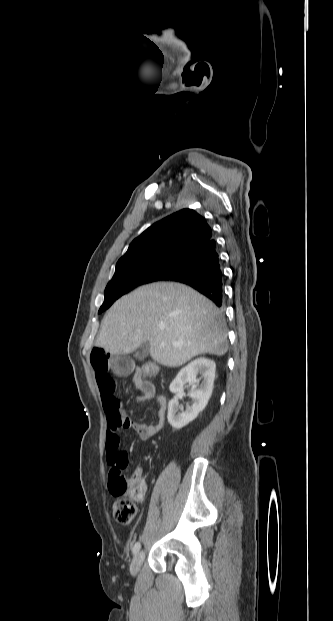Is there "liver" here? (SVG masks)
I'll return each mask as SVG.
<instances>
[{
  "instance_id": "6515ba94",
  "label": "liver",
  "mask_w": 333,
  "mask_h": 621,
  "mask_svg": "<svg viewBox=\"0 0 333 621\" xmlns=\"http://www.w3.org/2000/svg\"><path fill=\"white\" fill-rule=\"evenodd\" d=\"M149 342L151 357L181 366L199 354L224 355L227 332L219 309L192 288L154 283L121 297L102 320L96 346L127 355Z\"/></svg>"
}]
</instances>
